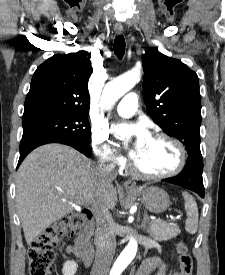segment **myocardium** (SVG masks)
Masks as SVG:
<instances>
[{
    "label": "myocardium",
    "mask_w": 225,
    "mask_h": 275,
    "mask_svg": "<svg viewBox=\"0 0 225 275\" xmlns=\"http://www.w3.org/2000/svg\"><path fill=\"white\" fill-rule=\"evenodd\" d=\"M151 137L166 140L171 145H173L177 152V163L173 169H171L167 172L159 173V174H150V173H146V172L142 171L138 167L136 162L134 161L133 162V171L135 172V174L141 178L148 179V180H160V179H166V178L173 177V176L177 175L178 173H180L183 170V168L186 164V159H187L186 150H185L183 144L178 139H176L164 132H156Z\"/></svg>",
    "instance_id": "1"
}]
</instances>
